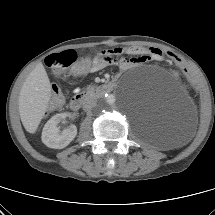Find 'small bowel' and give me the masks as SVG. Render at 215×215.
I'll use <instances>...</instances> for the list:
<instances>
[{"label":"small bowel","instance_id":"obj_1","mask_svg":"<svg viewBox=\"0 0 215 215\" xmlns=\"http://www.w3.org/2000/svg\"><path fill=\"white\" fill-rule=\"evenodd\" d=\"M123 54L132 55L134 57L117 59ZM164 57V52L156 47H117L95 55L91 60L92 66L87 71H100L109 65H117L120 71H126L150 61H162ZM75 91H77V89Z\"/></svg>","mask_w":215,"mask_h":215}]
</instances>
